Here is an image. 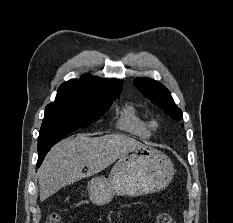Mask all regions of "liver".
<instances>
[{
  "label": "liver",
  "instance_id": "1",
  "mask_svg": "<svg viewBox=\"0 0 233 223\" xmlns=\"http://www.w3.org/2000/svg\"><path fill=\"white\" fill-rule=\"evenodd\" d=\"M140 143L141 141L122 133H109L101 137H88L86 133H78L76 137L62 139L45 155L37 171L40 201H44L64 185L106 169L123 153H128ZM84 167L88 169L86 173L82 171Z\"/></svg>",
  "mask_w": 233,
  "mask_h": 223
}]
</instances>
